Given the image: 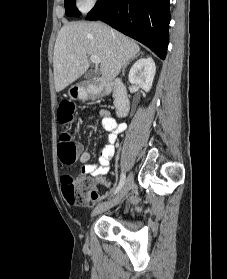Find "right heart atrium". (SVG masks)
I'll return each instance as SVG.
<instances>
[{
	"instance_id": "d8ad5b80",
	"label": "right heart atrium",
	"mask_w": 227,
	"mask_h": 279,
	"mask_svg": "<svg viewBox=\"0 0 227 279\" xmlns=\"http://www.w3.org/2000/svg\"><path fill=\"white\" fill-rule=\"evenodd\" d=\"M99 0H78V4L81 8L88 10L95 6Z\"/></svg>"
}]
</instances>
